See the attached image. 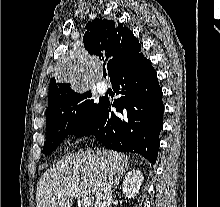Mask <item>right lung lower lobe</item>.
Segmentation results:
<instances>
[{"mask_svg":"<svg viewBox=\"0 0 220 207\" xmlns=\"http://www.w3.org/2000/svg\"><path fill=\"white\" fill-rule=\"evenodd\" d=\"M111 83L122 96L113 103L103 99L75 135H94L108 149L138 153L154 164L164 109L155 69L138 53L116 72ZM111 106L121 115L111 112Z\"/></svg>","mask_w":220,"mask_h":207,"instance_id":"right-lung-lower-lobe-1","label":"right lung lower lobe"}]
</instances>
